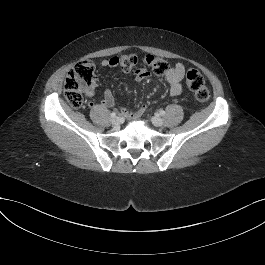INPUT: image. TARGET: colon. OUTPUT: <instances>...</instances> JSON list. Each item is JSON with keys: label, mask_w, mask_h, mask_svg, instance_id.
<instances>
[{"label": "colon", "mask_w": 265, "mask_h": 265, "mask_svg": "<svg viewBox=\"0 0 265 265\" xmlns=\"http://www.w3.org/2000/svg\"><path fill=\"white\" fill-rule=\"evenodd\" d=\"M113 62L123 71H131L137 63L134 54H123L112 57ZM144 63L154 74L166 75L170 71L169 64L162 58L147 55ZM98 82L95 73V64L85 60L77 63L68 73L64 82V96L68 104L74 108H79L83 104V92L94 88ZM188 88L194 93L195 99L205 103L210 98V92L205 85L202 74L196 69H190L186 74Z\"/></svg>", "instance_id": "5ec220e1"}]
</instances>
